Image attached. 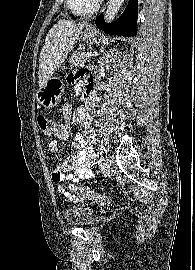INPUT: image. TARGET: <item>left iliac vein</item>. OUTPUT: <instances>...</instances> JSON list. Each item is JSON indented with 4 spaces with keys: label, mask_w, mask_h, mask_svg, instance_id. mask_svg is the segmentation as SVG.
I'll use <instances>...</instances> for the list:
<instances>
[{
    "label": "left iliac vein",
    "mask_w": 195,
    "mask_h": 270,
    "mask_svg": "<svg viewBox=\"0 0 195 270\" xmlns=\"http://www.w3.org/2000/svg\"><path fill=\"white\" fill-rule=\"evenodd\" d=\"M113 167L112 160L110 158H106L104 160V165H103V174L105 176L109 175Z\"/></svg>",
    "instance_id": "left-iliac-vein-1"
}]
</instances>
